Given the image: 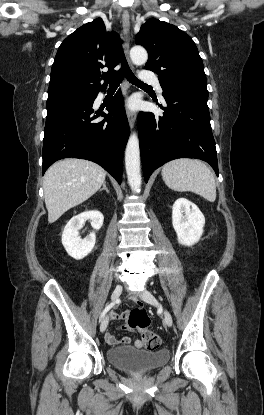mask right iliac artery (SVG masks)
<instances>
[{"mask_svg":"<svg viewBox=\"0 0 264 415\" xmlns=\"http://www.w3.org/2000/svg\"><path fill=\"white\" fill-rule=\"evenodd\" d=\"M117 302V301H116ZM115 305V302L110 303L105 307V309L102 311L100 320H102L105 317V314Z\"/></svg>","mask_w":264,"mask_h":415,"instance_id":"right-iliac-artery-1","label":"right iliac artery"}]
</instances>
